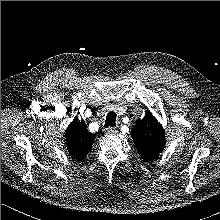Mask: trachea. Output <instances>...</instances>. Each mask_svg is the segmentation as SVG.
<instances>
[{"label":"trachea","mask_w":220,"mask_h":220,"mask_svg":"<svg viewBox=\"0 0 220 220\" xmlns=\"http://www.w3.org/2000/svg\"><path fill=\"white\" fill-rule=\"evenodd\" d=\"M116 113L109 112L106 116L105 127H113L116 125Z\"/></svg>","instance_id":"1"}]
</instances>
